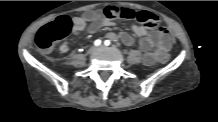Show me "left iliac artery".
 <instances>
[{
	"label": "left iliac artery",
	"instance_id": "44dca946",
	"mask_svg": "<svg viewBox=\"0 0 218 122\" xmlns=\"http://www.w3.org/2000/svg\"><path fill=\"white\" fill-rule=\"evenodd\" d=\"M104 44H105L106 46H109V45H110V40H106V41L104 42Z\"/></svg>",
	"mask_w": 218,
	"mask_h": 122
}]
</instances>
